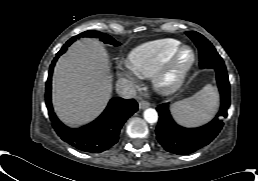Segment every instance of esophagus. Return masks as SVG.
I'll return each instance as SVG.
<instances>
[{
  "label": "esophagus",
  "mask_w": 258,
  "mask_h": 181,
  "mask_svg": "<svg viewBox=\"0 0 258 181\" xmlns=\"http://www.w3.org/2000/svg\"><path fill=\"white\" fill-rule=\"evenodd\" d=\"M149 106H150V103H149L148 101L141 100V101L139 102V108H140V109H145V108H147V107H149Z\"/></svg>",
  "instance_id": "1"
}]
</instances>
